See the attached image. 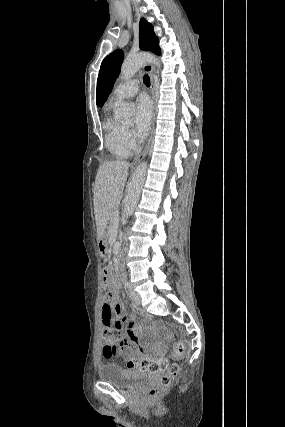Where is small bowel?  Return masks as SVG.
I'll return each instance as SVG.
<instances>
[{
	"label": "small bowel",
	"instance_id": "c3829d8e",
	"mask_svg": "<svg viewBox=\"0 0 285 427\" xmlns=\"http://www.w3.org/2000/svg\"><path fill=\"white\" fill-rule=\"evenodd\" d=\"M110 304L112 305V309L104 303L101 306L102 326L117 325L120 329L125 328V331L122 334L120 347L116 353L123 356L124 353L128 352V357L137 355V353L132 350L131 344L135 341L138 334L136 324L133 319L123 317L124 307L117 301V296L114 297Z\"/></svg>",
	"mask_w": 285,
	"mask_h": 427
}]
</instances>
